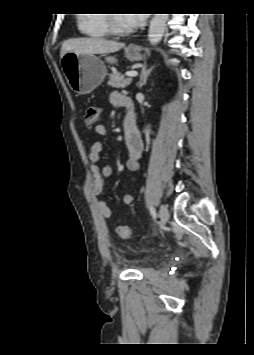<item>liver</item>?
<instances>
[{
	"label": "liver",
	"mask_w": 254,
	"mask_h": 355,
	"mask_svg": "<svg viewBox=\"0 0 254 355\" xmlns=\"http://www.w3.org/2000/svg\"><path fill=\"white\" fill-rule=\"evenodd\" d=\"M124 47L123 43L109 41L100 38H73L62 44L60 57L67 52H76L79 54H105L114 53Z\"/></svg>",
	"instance_id": "obj_1"
}]
</instances>
